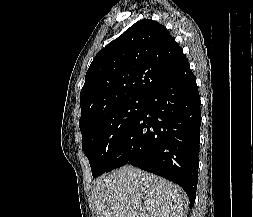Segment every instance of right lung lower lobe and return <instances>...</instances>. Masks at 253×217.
<instances>
[{
    "label": "right lung lower lobe",
    "mask_w": 253,
    "mask_h": 217,
    "mask_svg": "<svg viewBox=\"0 0 253 217\" xmlns=\"http://www.w3.org/2000/svg\"><path fill=\"white\" fill-rule=\"evenodd\" d=\"M200 96L188 60L146 96L109 171L127 163L180 185L195 202L199 164ZM108 171V172H109Z\"/></svg>",
    "instance_id": "98d812e1"
}]
</instances>
